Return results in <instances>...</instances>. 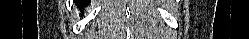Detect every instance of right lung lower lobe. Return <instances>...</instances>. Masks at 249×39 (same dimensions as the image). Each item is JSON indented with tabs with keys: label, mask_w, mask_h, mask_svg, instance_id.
I'll list each match as a JSON object with an SVG mask.
<instances>
[{
	"label": "right lung lower lobe",
	"mask_w": 249,
	"mask_h": 39,
	"mask_svg": "<svg viewBox=\"0 0 249 39\" xmlns=\"http://www.w3.org/2000/svg\"><path fill=\"white\" fill-rule=\"evenodd\" d=\"M90 3V0H80L77 2L78 7L83 10L85 6H88V4Z\"/></svg>",
	"instance_id": "right-lung-lower-lobe-1"
}]
</instances>
